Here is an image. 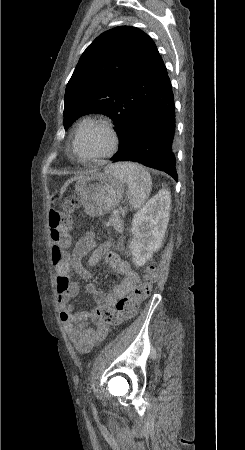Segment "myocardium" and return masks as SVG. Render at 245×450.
<instances>
[{"instance_id": "f54148a6", "label": "myocardium", "mask_w": 245, "mask_h": 450, "mask_svg": "<svg viewBox=\"0 0 245 450\" xmlns=\"http://www.w3.org/2000/svg\"><path fill=\"white\" fill-rule=\"evenodd\" d=\"M96 128H102L104 129L110 137V146L109 148L101 154L96 155H90V156H84L81 155L77 150V143L81 135L89 130V129H96ZM120 143L119 135L117 130L115 129L114 125L105 119H97L92 120L88 123H82L79 124L78 127L75 130L73 140H72V151L78 157L79 159L83 160H99V159H105L110 156H112L118 149Z\"/></svg>"}]
</instances>
